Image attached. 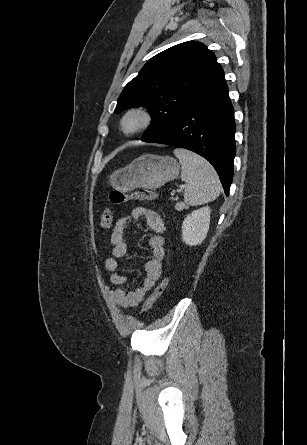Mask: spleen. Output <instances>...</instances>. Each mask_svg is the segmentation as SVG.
Returning a JSON list of instances; mask_svg holds the SVG:
<instances>
[{"label":"spleen","instance_id":"spleen-1","mask_svg":"<svg viewBox=\"0 0 307 445\" xmlns=\"http://www.w3.org/2000/svg\"><path fill=\"white\" fill-rule=\"evenodd\" d=\"M174 154L181 162V178L186 182L185 204L198 206L215 200L221 192V182L212 164L186 148H175Z\"/></svg>","mask_w":307,"mask_h":445}]
</instances>
